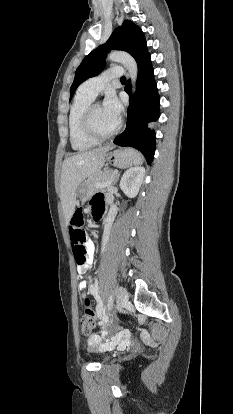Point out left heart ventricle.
Here are the masks:
<instances>
[{"mask_svg": "<svg viewBox=\"0 0 233 414\" xmlns=\"http://www.w3.org/2000/svg\"><path fill=\"white\" fill-rule=\"evenodd\" d=\"M92 124L99 134H107L114 129L117 120L110 117L103 109V106L97 104L92 113Z\"/></svg>", "mask_w": 233, "mask_h": 414, "instance_id": "obj_1", "label": "left heart ventricle"}]
</instances>
